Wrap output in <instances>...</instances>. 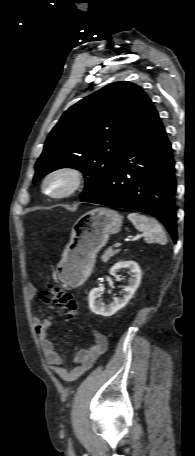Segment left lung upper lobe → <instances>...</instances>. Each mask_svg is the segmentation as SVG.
Segmentation results:
<instances>
[{
  "label": "left lung upper lobe",
  "mask_w": 195,
  "mask_h": 456,
  "mask_svg": "<svg viewBox=\"0 0 195 456\" xmlns=\"http://www.w3.org/2000/svg\"><path fill=\"white\" fill-rule=\"evenodd\" d=\"M153 106L139 86L111 83L71 106L48 135L35 164L36 183L70 167L86 176L81 199L95 193L114 168L133 130Z\"/></svg>",
  "instance_id": "1"
}]
</instances>
